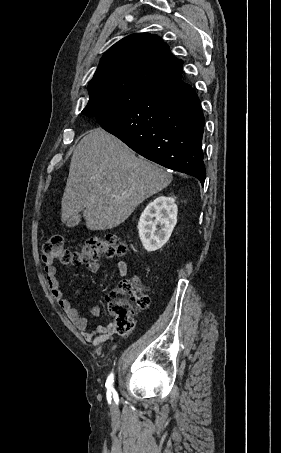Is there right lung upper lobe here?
I'll use <instances>...</instances> for the list:
<instances>
[{
    "instance_id": "obj_1",
    "label": "right lung upper lobe",
    "mask_w": 281,
    "mask_h": 453,
    "mask_svg": "<svg viewBox=\"0 0 281 453\" xmlns=\"http://www.w3.org/2000/svg\"><path fill=\"white\" fill-rule=\"evenodd\" d=\"M182 60L171 55L157 35L133 34L114 44L101 58L89 82V102L82 112L129 101L162 83L182 78Z\"/></svg>"
}]
</instances>
